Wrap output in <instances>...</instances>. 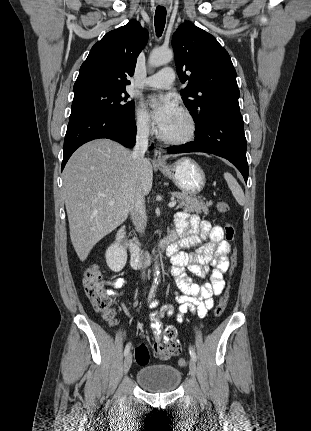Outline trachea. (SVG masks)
I'll use <instances>...</instances> for the list:
<instances>
[{"label":"trachea","mask_w":311,"mask_h":431,"mask_svg":"<svg viewBox=\"0 0 311 431\" xmlns=\"http://www.w3.org/2000/svg\"><path fill=\"white\" fill-rule=\"evenodd\" d=\"M166 8L158 6L155 11V31L157 37H160L163 33L165 22H166Z\"/></svg>","instance_id":"1"}]
</instances>
